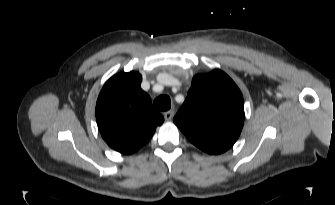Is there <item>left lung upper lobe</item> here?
<instances>
[{
    "label": "left lung upper lobe",
    "instance_id": "left-lung-upper-lobe-1",
    "mask_svg": "<svg viewBox=\"0 0 335 205\" xmlns=\"http://www.w3.org/2000/svg\"><path fill=\"white\" fill-rule=\"evenodd\" d=\"M173 121L188 140L204 152L223 153L232 147L242 131V94L220 70L198 74Z\"/></svg>",
    "mask_w": 335,
    "mask_h": 205
}]
</instances>
